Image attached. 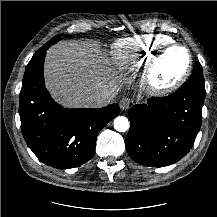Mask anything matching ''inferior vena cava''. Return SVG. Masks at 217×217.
I'll return each instance as SVG.
<instances>
[{
    "label": "inferior vena cava",
    "instance_id": "1",
    "mask_svg": "<svg viewBox=\"0 0 217 217\" xmlns=\"http://www.w3.org/2000/svg\"><path fill=\"white\" fill-rule=\"evenodd\" d=\"M115 97V93L112 91L94 92L88 95L84 100L87 107L101 108L110 104Z\"/></svg>",
    "mask_w": 217,
    "mask_h": 217
}]
</instances>
